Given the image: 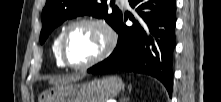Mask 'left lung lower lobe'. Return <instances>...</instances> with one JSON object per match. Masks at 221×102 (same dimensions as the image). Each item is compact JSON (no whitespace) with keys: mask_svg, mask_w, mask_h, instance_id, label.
<instances>
[{"mask_svg":"<svg viewBox=\"0 0 221 102\" xmlns=\"http://www.w3.org/2000/svg\"><path fill=\"white\" fill-rule=\"evenodd\" d=\"M137 17L131 27L116 30L118 43L112 54L88 69L89 73L133 71L156 77L172 96V58L175 48V0H129Z\"/></svg>","mask_w":221,"mask_h":102,"instance_id":"0a47b994","label":"left lung lower lobe"}]
</instances>
